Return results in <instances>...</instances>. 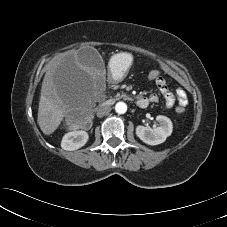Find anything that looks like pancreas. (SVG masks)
I'll return each mask as SVG.
<instances>
[{
	"label": "pancreas",
	"instance_id": "obj_1",
	"mask_svg": "<svg viewBox=\"0 0 227 227\" xmlns=\"http://www.w3.org/2000/svg\"><path fill=\"white\" fill-rule=\"evenodd\" d=\"M120 98L127 99L126 94L123 93V92H122L121 94H120V93L117 94V95H116V99H120Z\"/></svg>",
	"mask_w": 227,
	"mask_h": 227
}]
</instances>
